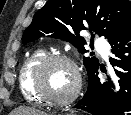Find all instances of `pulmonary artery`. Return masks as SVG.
Segmentation results:
<instances>
[{
    "instance_id": "obj_1",
    "label": "pulmonary artery",
    "mask_w": 131,
    "mask_h": 115,
    "mask_svg": "<svg viewBox=\"0 0 131 115\" xmlns=\"http://www.w3.org/2000/svg\"><path fill=\"white\" fill-rule=\"evenodd\" d=\"M95 45L97 49L101 52L104 59H108L109 49L108 46L103 38L97 37L95 39Z\"/></svg>"
}]
</instances>
